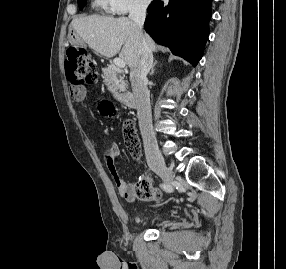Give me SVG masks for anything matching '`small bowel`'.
<instances>
[{"label": "small bowel", "instance_id": "c3829d8e", "mask_svg": "<svg viewBox=\"0 0 286 269\" xmlns=\"http://www.w3.org/2000/svg\"><path fill=\"white\" fill-rule=\"evenodd\" d=\"M121 88H110V93H121ZM72 98L77 102H83L86 96V92L84 88H73L71 90ZM120 155V149L117 145L112 144L108 145L104 151V160L105 164L113 176L117 191L119 195L125 198L127 201H134L136 199L135 192H134V184L123 180L118 172L116 166V159Z\"/></svg>", "mask_w": 286, "mask_h": 269}]
</instances>
